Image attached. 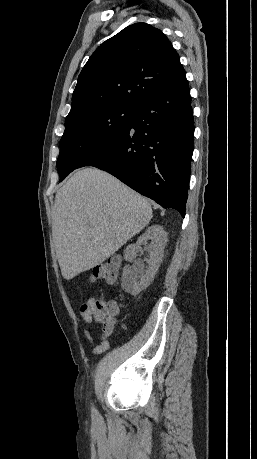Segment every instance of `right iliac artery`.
I'll return each instance as SVG.
<instances>
[{"label": "right iliac artery", "mask_w": 257, "mask_h": 459, "mask_svg": "<svg viewBox=\"0 0 257 459\" xmlns=\"http://www.w3.org/2000/svg\"><path fill=\"white\" fill-rule=\"evenodd\" d=\"M92 414H93V415H96V414H97V410H96L94 407H92Z\"/></svg>", "instance_id": "obj_1"}]
</instances>
